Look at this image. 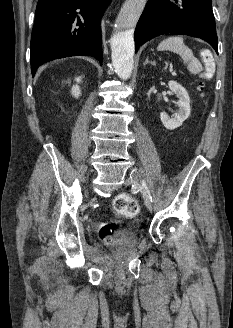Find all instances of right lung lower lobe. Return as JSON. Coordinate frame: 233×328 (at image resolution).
I'll return each mask as SVG.
<instances>
[{"label":"right lung lower lobe","mask_w":233,"mask_h":328,"mask_svg":"<svg viewBox=\"0 0 233 328\" xmlns=\"http://www.w3.org/2000/svg\"><path fill=\"white\" fill-rule=\"evenodd\" d=\"M111 0H39L31 37V70L53 59L92 56L102 64L100 21Z\"/></svg>","instance_id":"obj_1"}]
</instances>
